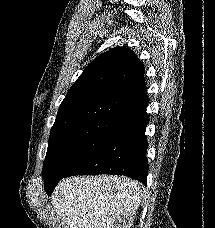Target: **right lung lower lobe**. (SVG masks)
Masks as SVG:
<instances>
[{"label":"right lung lower lobe","instance_id":"right-lung-lower-lobe-1","mask_svg":"<svg viewBox=\"0 0 215 228\" xmlns=\"http://www.w3.org/2000/svg\"><path fill=\"white\" fill-rule=\"evenodd\" d=\"M148 116L128 124L82 161L70 169L63 178L74 175L116 174L125 175L147 184L148 148L145 128Z\"/></svg>","mask_w":215,"mask_h":228}]
</instances>
